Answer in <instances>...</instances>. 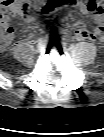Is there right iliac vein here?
<instances>
[{"label": "right iliac vein", "mask_w": 104, "mask_h": 137, "mask_svg": "<svg viewBox=\"0 0 104 137\" xmlns=\"http://www.w3.org/2000/svg\"><path fill=\"white\" fill-rule=\"evenodd\" d=\"M45 47V41L41 40L39 44L37 45V51H42Z\"/></svg>", "instance_id": "right-iliac-vein-1"}]
</instances>
